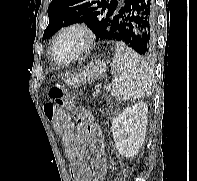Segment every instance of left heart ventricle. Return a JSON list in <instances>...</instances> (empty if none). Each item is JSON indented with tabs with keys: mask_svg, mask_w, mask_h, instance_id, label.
Segmentation results:
<instances>
[{
	"mask_svg": "<svg viewBox=\"0 0 197 181\" xmlns=\"http://www.w3.org/2000/svg\"><path fill=\"white\" fill-rule=\"evenodd\" d=\"M83 37L80 33L71 31L64 34L56 45L55 55L58 60L70 58L80 47Z\"/></svg>",
	"mask_w": 197,
	"mask_h": 181,
	"instance_id": "1",
	"label": "left heart ventricle"
}]
</instances>
